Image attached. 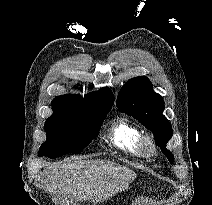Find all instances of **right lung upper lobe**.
Returning <instances> with one entry per match:
<instances>
[{"mask_svg": "<svg viewBox=\"0 0 212 205\" xmlns=\"http://www.w3.org/2000/svg\"><path fill=\"white\" fill-rule=\"evenodd\" d=\"M114 95L109 88H102L97 92L89 93L82 98L80 95L57 96L52 101L53 116H60L68 110L80 108H93L100 106H113Z\"/></svg>", "mask_w": 212, "mask_h": 205, "instance_id": "obj_1", "label": "right lung upper lobe"}]
</instances>
